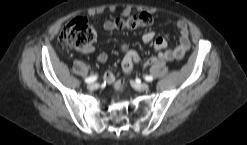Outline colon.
Instances as JSON below:
<instances>
[{
  "label": "colon",
  "instance_id": "1",
  "mask_svg": "<svg viewBox=\"0 0 247 145\" xmlns=\"http://www.w3.org/2000/svg\"><path fill=\"white\" fill-rule=\"evenodd\" d=\"M112 22L113 27L116 29L134 30L150 26L152 18L146 13H141L127 18L117 17ZM59 39L71 48L84 50L94 43L96 32L87 18L76 17L62 27ZM133 61L134 57L129 59L125 64V68Z\"/></svg>",
  "mask_w": 247,
  "mask_h": 145
}]
</instances>
